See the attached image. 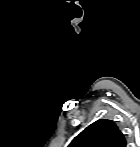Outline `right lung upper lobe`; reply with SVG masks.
I'll use <instances>...</instances> for the list:
<instances>
[{
    "mask_svg": "<svg viewBox=\"0 0 140 147\" xmlns=\"http://www.w3.org/2000/svg\"><path fill=\"white\" fill-rule=\"evenodd\" d=\"M69 147H126V140L113 121L100 119L76 136Z\"/></svg>",
    "mask_w": 140,
    "mask_h": 147,
    "instance_id": "obj_1",
    "label": "right lung upper lobe"
}]
</instances>
